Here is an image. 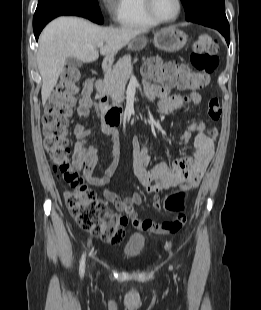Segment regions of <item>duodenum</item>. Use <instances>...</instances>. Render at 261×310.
Here are the masks:
<instances>
[{
    "instance_id": "1",
    "label": "duodenum",
    "mask_w": 261,
    "mask_h": 310,
    "mask_svg": "<svg viewBox=\"0 0 261 310\" xmlns=\"http://www.w3.org/2000/svg\"><path fill=\"white\" fill-rule=\"evenodd\" d=\"M111 66L110 60L103 62L102 68L107 71ZM96 95L98 99L99 109L103 115L104 124L108 127H116L122 121L123 111L122 108L117 105L109 104L108 98L103 91L102 82L97 80L95 83Z\"/></svg>"
}]
</instances>
